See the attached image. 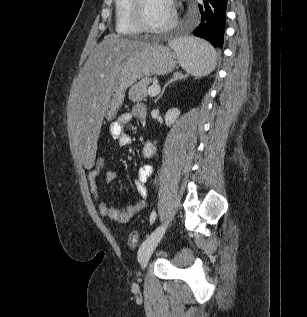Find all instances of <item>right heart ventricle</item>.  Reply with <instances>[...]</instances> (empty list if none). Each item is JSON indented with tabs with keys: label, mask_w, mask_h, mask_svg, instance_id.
Wrapping results in <instances>:
<instances>
[{
	"label": "right heart ventricle",
	"mask_w": 307,
	"mask_h": 317,
	"mask_svg": "<svg viewBox=\"0 0 307 317\" xmlns=\"http://www.w3.org/2000/svg\"><path fill=\"white\" fill-rule=\"evenodd\" d=\"M115 29L121 35H132L139 32L131 20V0H114Z\"/></svg>",
	"instance_id": "obj_1"
}]
</instances>
